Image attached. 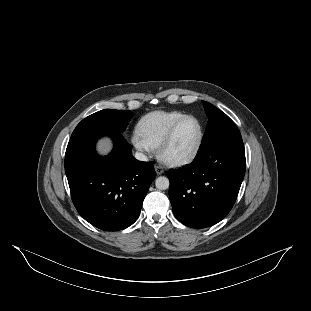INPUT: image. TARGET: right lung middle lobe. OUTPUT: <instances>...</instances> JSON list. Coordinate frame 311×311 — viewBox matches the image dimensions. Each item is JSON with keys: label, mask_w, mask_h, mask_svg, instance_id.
Wrapping results in <instances>:
<instances>
[{"label": "right lung middle lobe", "mask_w": 311, "mask_h": 311, "mask_svg": "<svg viewBox=\"0 0 311 311\" xmlns=\"http://www.w3.org/2000/svg\"><path fill=\"white\" fill-rule=\"evenodd\" d=\"M131 116L132 113L130 110L104 109L83 119L76 126L72 135L92 129L123 132L131 120Z\"/></svg>", "instance_id": "right-lung-middle-lobe-1"}]
</instances>
